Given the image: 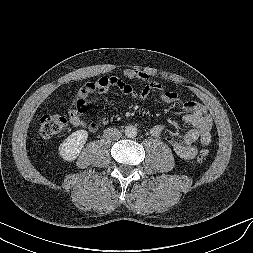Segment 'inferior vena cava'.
<instances>
[{
	"mask_svg": "<svg viewBox=\"0 0 253 253\" xmlns=\"http://www.w3.org/2000/svg\"><path fill=\"white\" fill-rule=\"evenodd\" d=\"M103 136L108 140H118L122 136V133L116 128H107L104 130Z\"/></svg>",
	"mask_w": 253,
	"mask_h": 253,
	"instance_id": "1",
	"label": "inferior vena cava"
}]
</instances>
